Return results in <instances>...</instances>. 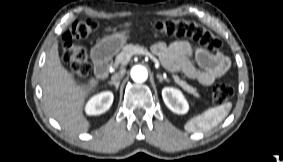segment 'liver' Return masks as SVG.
Wrapping results in <instances>:
<instances>
[{
	"mask_svg": "<svg viewBox=\"0 0 283 162\" xmlns=\"http://www.w3.org/2000/svg\"><path fill=\"white\" fill-rule=\"evenodd\" d=\"M98 84L95 78L79 83L62 65L58 43L52 45L42 69L41 85L45 108L62 128L71 133L88 131L90 122L83 114V106Z\"/></svg>",
	"mask_w": 283,
	"mask_h": 162,
	"instance_id": "6515ba94",
	"label": "liver"
}]
</instances>
